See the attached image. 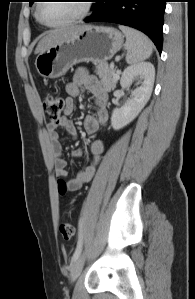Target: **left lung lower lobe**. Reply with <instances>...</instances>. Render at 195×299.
<instances>
[{"label":"left lung lower lobe","mask_w":195,"mask_h":299,"mask_svg":"<svg viewBox=\"0 0 195 299\" xmlns=\"http://www.w3.org/2000/svg\"><path fill=\"white\" fill-rule=\"evenodd\" d=\"M85 22L103 21L133 27L145 33L159 52L163 43V15L166 0H95Z\"/></svg>","instance_id":"1"}]
</instances>
